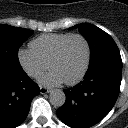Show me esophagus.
<instances>
[{
    "label": "esophagus",
    "instance_id": "obj_1",
    "mask_svg": "<svg viewBox=\"0 0 128 128\" xmlns=\"http://www.w3.org/2000/svg\"><path fill=\"white\" fill-rule=\"evenodd\" d=\"M50 92V90L48 89V88H46V87H40V93L41 94H46V93H49Z\"/></svg>",
    "mask_w": 128,
    "mask_h": 128
}]
</instances>
